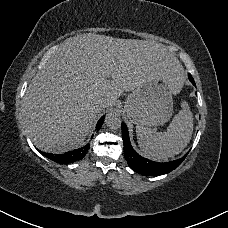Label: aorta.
<instances>
[{
    "label": "aorta",
    "mask_w": 228,
    "mask_h": 228,
    "mask_svg": "<svg viewBox=\"0 0 228 228\" xmlns=\"http://www.w3.org/2000/svg\"><path fill=\"white\" fill-rule=\"evenodd\" d=\"M121 123L122 122L119 114L110 112L106 115L105 124L109 129L111 130L118 129L119 127H121Z\"/></svg>",
    "instance_id": "762f6f07"
}]
</instances>
